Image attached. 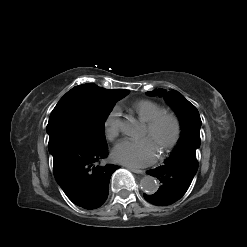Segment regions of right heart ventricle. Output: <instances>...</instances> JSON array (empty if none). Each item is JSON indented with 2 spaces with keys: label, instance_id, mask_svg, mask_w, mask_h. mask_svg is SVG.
I'll return each instance as SVG.
<instances>
[{
  "label": "right heart ventricle",
  "instance_id": "right-heart-ventricle-1",
  "mask_svg": "<svg viewBox=\"0 0 247 247\" xmlns=\"http://www.w3.org/2000/svg\"><path fill=\"white\" fill-rule=\"evenodd\" d=\"M133 108L138 117L144 122L150 121L164 111V108L159 103L150 99H141L136 101L133 104Z\"/></svg>",
  "mask_w": 247,
  "mask_h": 247
}]
</instances>
